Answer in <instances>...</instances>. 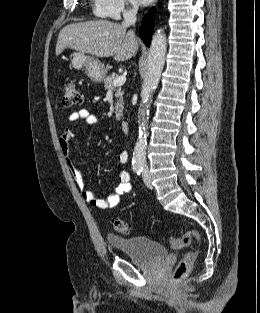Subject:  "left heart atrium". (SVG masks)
<instances>
[{"label": "left heart atrium", "instance_id": "1", "mask_svg": "<svg viewBox=\"0 0 260 313\" xmlns=\"http://www.w3.org/2000/svg\"><path fill=\"white\" fill-rule=\"evenodd\" d=\"M136 3L140 5H147L149 4L152 0H134Z\"/></svg>", "mask_w": 260, "mask_h": 313}]
</instances>
